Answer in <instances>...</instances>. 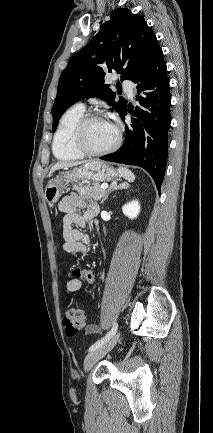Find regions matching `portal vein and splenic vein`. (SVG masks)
<instances>
[{
  "label": "portal vein and splenic vein",
  "mask_w": 213,
  "mask_h": 433,
  "mask_svg": "<svg viewBox=\"0 0 213 433\" xmlns=\"http://www.w3.org/2000/svg\"><path fill=\"white\" fill-rule=\"evenodd\" d=\"M101 188H102L103 190H106V189L108 188V185H107V184H102V185H101Z\"/></svg>",
  "instance_id": "obj_1"
}]
</instances>
